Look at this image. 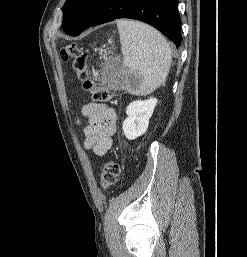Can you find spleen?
<instances>
[{"instance_id": "obj_1", "label": "spleen", "mask_w": 247, "mask_h": 257, "mask_svg": "<svg viewBox=\"0 0 247 257\" xmlns=\"http://www.w3.org/2000/svg\"><path fill=\"white\" fill-rule=\"evenodd\" d=\"M123 65L129 75L140 79L138 89L151 93L164 84L171 64V49L153 27L133 20H118Z\"/></svg>"}]
</instances>
